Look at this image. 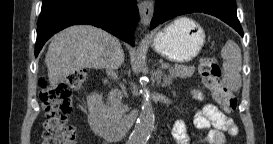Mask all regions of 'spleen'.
Segmentation results:
<instances>
[{"mask_svg":"<svg viewBox=\"0 0 273 144\" xmlns=\"http://www.w3.org/2000/svg\"><path fill=\"white\" fill-rule=\"evenodd\" d=\"M223 63V83L231 91H238L241 87V65L242 57L239 46L233 41L228 40L221 50Z\"/></svg>","mask_w":273,"mask_h":144,"instance_id":"1","label":"spleen"}]
</instances>
